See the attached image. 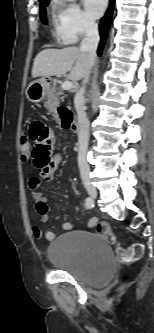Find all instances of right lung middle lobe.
<instances>
[{
  "label": "right lung middle lobe",
  "mask_w": 154,
  "mask_h": 333,
  "mask_svg": "<svg viewBox=\"0 0 154 333\" xmlns=\"http://www.w3.org/2000/svg\"><path fill=\"white\" fill-rule=\"evenodd\" d=\"M48 3H49V0H43V1H41V5H40V17L44 24L47 23L46 7L48 6Z\"/></svg>",
  "instance_id": "obj_1"
}]
</instances>
